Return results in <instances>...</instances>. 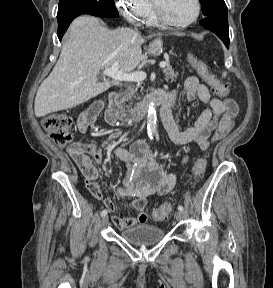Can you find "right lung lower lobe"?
Listing matches in <instances>:
<instances>
[{"instance_id":"98d812e1","label":"right lung lower lobe","mask_w":273,"mask_h":288,"mask_svg":"<svg viewBox=\"0 0 273 288\" xmlns=\"http://www.w3.org/2000/svg\"><path fill=\"white\" fill-rule=\"evenodd\" d=\"M79 15H81V14L72 15V16L66 17V18L58 21V33H57V35H58L59 40H61L62 36L66 32L68 26L73 21V19Z\"/></svg>"}]
</instances>
